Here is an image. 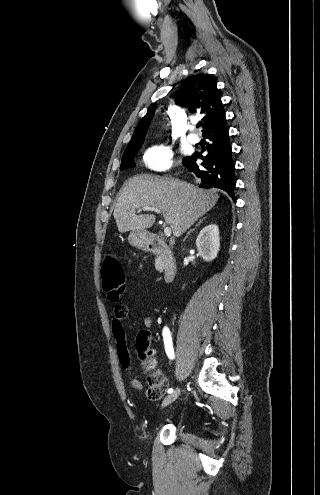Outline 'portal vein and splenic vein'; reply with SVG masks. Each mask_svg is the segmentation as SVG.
<instances>
[{
	"mask_svg": "<svg viewBox=\"0 0 320 495\" xmlns=\"http://www.w3.org/2000/svg\"><path fill=\"white\" fill-rule=\"evenodd\" d=\"M138 211L139 212H141V211H154L156 213H160V210L158 208L149 207V206L142 207ZM164 235L166 237H169L171 235V228L170 227H165V229H164Z\"/></svg>",
	"mask_w": 320,
	"mask_h": 495,
	"instance_id": "portal-vein-and-splenic-vein-1",
	"label": "portal vein and splenic vein"
}]
</instances>
